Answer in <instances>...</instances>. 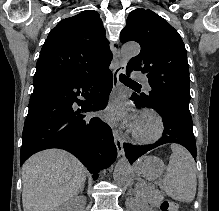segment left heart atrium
I'll use <instances>...</instances> for the list:
<instances>
[{"label":"left heart atrium","instance_id":"1","mask_svg":"<svg viewBox=\"0 0 219 211\" xmlns=\"http://www.w3.org/2000/svg\"><path fill=\"white\" fill-rule=\"evenodd\" d=\"M104 116L108 121L125 120L128 118L125 103L121 100L116 101L106 109Z\"/></svg>","mask_w":219,"mask_h":211}]
</instances>
